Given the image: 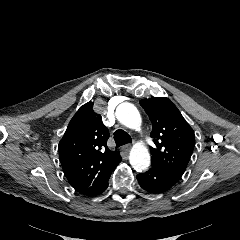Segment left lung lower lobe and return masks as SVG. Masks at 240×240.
<instances>
[{"label": "left lung lower lobe", "mask_w": 240, "mask_h": 240, "mask_svg": "<svg viewBox=\"0 0 240 240\" xmlns=\"http://www.w3.org/2000/svg\"><path fill=\"white\" fill-rule=\"evenodd\" d=\"M137 179L140 186L152 194L169 191L178 183L168 172L154 165L147 172L139 173Z\"/></svg>", "instance_id": "obj_1"}]
</instances>
